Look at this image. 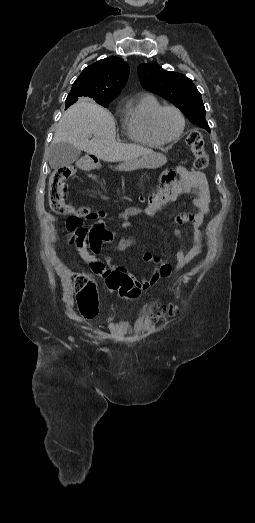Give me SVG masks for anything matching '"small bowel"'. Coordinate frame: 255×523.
I'll return each mask as SVG.
<instances>
[{"label": "small bowel", "mask_w": 255, "mask_h": 523, "mask_svg": "<svg viewBox=\"0 0 255 523\" xmlns=\"http://www.w3.org/2000/svg\"><path fill=\"white\" fill-rule=\"evenodd\" d=\"M180 176V182L171 189H165L161 194L154 195L150 198V202L144 211L148 215H154L158 210L167 204L175 201L181 196H186L192 190L197 189L198 195L192 198V204L195 208L192 213L179 214L174 219V235L181 240V231L178 225L183 223H191L194 229V245L185 250L182 246L176 252V263L174 265L164 263L160 258H154L150 253L143 254L144 262H154L156 265L149 278L139 277L133 278V281L140 289L147 290L154 287L157 283L167 280L173 275L180 272L187 264H189L201 251L200 226L205 217L209 214L210 194L207 184L206 176L203 172L194 169H186L180 167L177 169ZM171 174L164 176L163 181L169 182ZM140 213V210L131 208L119 215V227L127 229L131 227L130 218ZM96 221L91 226H83L81 223L68 218L66 221L67 242L76 247L80 258L91 268V270L100 276L105 277L110 272H120L130 275L127 268L115 267L106 264L100 257L101 249L104 243L110 242L114 239V233L108 230L105 226L103 218L104 212H98ZM89 218V217H87ZM133 245L131 241H120L116 245V250L123 251Z\"/></svg>", "instance_id": "obj_1"}]
</instances>
